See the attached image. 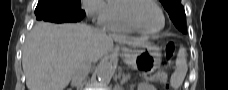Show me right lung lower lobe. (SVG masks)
Here are the masks:
<instances>
[{"label": "right lung lower lobe", "instance_id": "1", "mask_svg": "<svg viewBox=\"0 0 228 90\" xmlns=\"http://www.w3.org/2000/svg\"><path fill=\"white\" fill-rule=\"evenodd\" d=\"M36 19L63 23V22H79L81 21L85 13L83 10L80 11L77 15H69L67 12L57 6H55V0H48V2L43 5H37L36 10Z\"/></svg>", "mask_w": 228, "mask_h": 90}]
</instances>
